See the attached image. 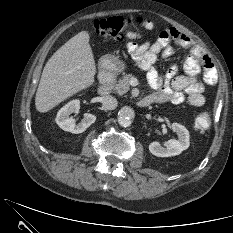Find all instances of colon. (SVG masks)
I'll return each mask as SVG.
<instances>
[{
  "label": "colon",
  "mask_w": 233,
  "mask_h": 233,
  "mask_svg": "<svg viewBox=\"0 0 233 233\" xmlns=\"http://www.w3.org/2000/svg\"><path fill=\"white\" fill-rule=\"evenodd\" d=\"M135 23H142V19L132 20L122 16H113L94 21L96 33L105 38H113L120 35L127 27ZM211 124V116L208 112L197 115L193 121V127L199 131H206Z\"/></svg>",
  "instance_id": "obj_1"
}]
</instances>
